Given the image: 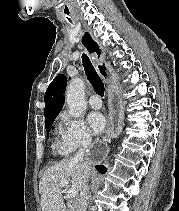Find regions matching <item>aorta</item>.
<instances>
[{
	"label": "aorta",
	"instance_id": "1",
	"mask_svg": "<svg viewBox=\"0 0 179 211\" xmlns=\"http://www.w3.org/2000/svg\"><path fill=\"white\" fill-rule=\"evenodd\" d=\"M85 85L82 79L75 78L69 83L66 91V102L72 117L78 118L86 109L84 98Z\"/></svg>",
	"mask_w": 179,
	"mask_h": 211
}]
</instances>
